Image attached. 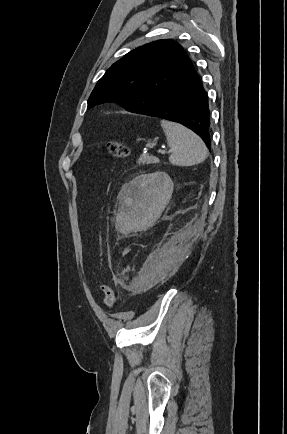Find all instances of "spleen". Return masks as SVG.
I'll return each instance as SVG.
<instances>
[{
  "label": "spleen",
  "mask_w": 287,
  "mask_h": 434,
  "mask_svg": "<svg viewBox=\"0 0 287 434\" xmlns=\"http://www.w3.org/2000/svg\"><path fill=\"white\" fill-rule=\"evenodd\" d=\"M161 126L172 150L169 161L176 166H192L202 163L208 149L202 139L191 130L175 122L162 120ZM146 224V220L142 221Z\"/></svg>",
  "instance_id": "1"
}]
</instances>
